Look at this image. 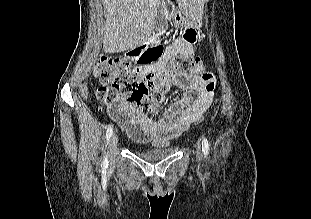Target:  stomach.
Here are the masks:
<instances>
[{
    "mask_svg": "<svg viewBox=\"0 0 311 219\" xmlns=\"http://www.w3.org/2000/svg\"><path fill=\"white\" fill-rule=\"evenodd\" d=\"M161 18L162 20L163 19L166 20V18L164 17H161ZM172 19H173L174 24L177 26H185L191 21L190 17L181 10L175 12L172 16Z\"/></svg>",
    "mask_w": 311,
    "mask_h": 219,
    "instance_id": "obj_1",
    "label": "stomach"
}]
</instances>
